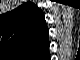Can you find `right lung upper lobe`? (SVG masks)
<instances>
[{
    "mask_svg": "<svg viewBox=\"0 0 80 60\" xmlns=\"http://www.w3.org/2000/svg\"><path fill=\"white\" fill-rule=\"evenodd\" d=\"M0 27L2 47L21 57L42 51L48 46V29L44 15L33 3H25L4 14L0 19Z\"/></svg>",
    "mask_w": 80,
    "mask_h": 60,
    "instance_id": "right-lung-upper-lobe-1",
    "label": "right lung upper lobe"
}]
</instances>
